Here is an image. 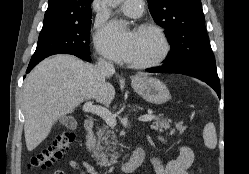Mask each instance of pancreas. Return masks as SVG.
<instances>
[{"instance_id": "obj_1", "label": "pancreas", "mask_w": 249, "mask_h": 174, "mask_svg": "<svg viewBox=\"0 0 249 174\" xmlns=\"http://www.w3.org/2000/svg\"><path fill=\"white\" fill-rule=\"evenodd\" d=\"M172 121L168 118H164L162 115L154 116V121L151 125L152 129L157 131H163V129H170ZM176 129L183 133L186 126H183L181 122L176 124ZM175 129H170V135H173ZM116 136L111 130L105 126L100 128L96 132V137L93 139V144L90 146L93 156L98 161L100 166H111L116 163L117 156L115 153L116 149ZM112 152V153H110Z\"/></svg>"}]
</instances>
